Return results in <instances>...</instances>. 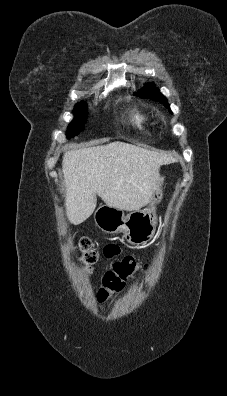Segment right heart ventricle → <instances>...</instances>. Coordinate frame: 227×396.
<instances>
[{
  "label": "right heart ventricle",
  "mask_w": 227,
  "mask_h": 396,
  "mask_svg": "<svg viewBox=\"0 0 227 396\" xmlns=\"http://www.w3.org/2000/svg\"><path fill=\"white\" fill-rule=\"evenodd\" d=\"M129 120L132 125L139 130H145L156 125L153 117L148 112L138 107L129 110Z\"/></svg>",
  "instance_id": "e07e8e85"
}]
</instances>
